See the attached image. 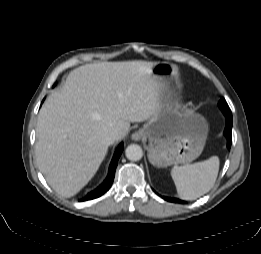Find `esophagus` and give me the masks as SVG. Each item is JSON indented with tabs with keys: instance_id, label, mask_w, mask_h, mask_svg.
Here are the masks:
<instances>
[{
	"instance_id": "obj_1",
	"label": "esophagus",
	"mask_w": 261,
	"mask_h": 254,
	"mask_svg": "<svg viewBox=\"0 0 261 254\" xmlns=\"http://www.w3.org/2000/svg\"><path fill=\"white\" fill-rule=\"evenodd\" d=\"M143 137V133L141 131H137L132 134V139L135 141L140 140Z\"/></svg>"
}]
</instances>
